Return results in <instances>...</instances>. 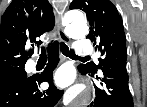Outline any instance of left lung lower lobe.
I'll return each instance as SVG.
<instances>
[{"mask_svg":"<svg viewBox=\"0 0 147 107\" xmlns=\"http://www.w3.org/2000/svg\"><path fill=\"white\" fill-rule=\"evenodd\" d=\"M78 69L82 74L89 73L103 82L101 87L95 85L96 97L88 107H134L125 60L116 59L103 65L102 78L83 68Z\"/></svg>","mask_w":147,"mask_h":107,"instance_id":"1","label":"left lung lower lobe"}]
</instances>
